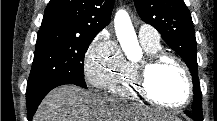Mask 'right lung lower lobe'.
I'll return each mask as SVG.
<instances>
[{
	"mask_svg": "<svg viewBox=\"0 0 217 121\" xmlns=\"http://www.w3.org/2000/svg\"><path fill=\"white\" fill-rule=\"evenodd\" d=\"M65 84H74L69 79L56 78L42 82L26 91V103H27V116L28 121L32 120L34 113L36 112L39 104L46 94L51 91L53 88L65 85Z\"/></svg>",
	"mask_w": 217,
	"mask_h": 121,
	"instance_id": "obj_1",
	"label": "right lung lower lobe"
}]
</instances>
